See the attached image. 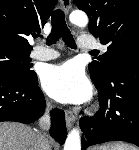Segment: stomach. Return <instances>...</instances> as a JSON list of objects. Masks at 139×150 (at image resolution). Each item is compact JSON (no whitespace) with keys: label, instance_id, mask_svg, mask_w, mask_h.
<instances>
[{"label":"stomach","instance_id":"stomach-1","mask_svg":"<svg viewBox=\"0 0 139 150\" xmlns=\"http://www.w3.org/2000/svg\"><path fill=\"white\" fill-rule=\"evenodd\" d=\"M92 150H110L109 146H100V147H95Z\"/></svg>","mask_w":139,"mask_h":150}]
</instances>
